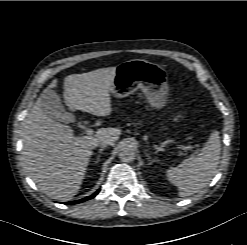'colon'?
<instances>
[{
  "label": "colon",
  "instance_id": "1",
  "mask_svg": "<svg viewBox=\"0 0 247 245\" xmlns=\"http://www.w3.org/2000/svg\"><path fill=\"white\" fill-rule=\"evenodd\" d=\"M177 120H178V121L182 120V117H181V116H179Z\"/></svg>",
  "mask_w": 247,
  "mask_h": 245
}]
</instances>
